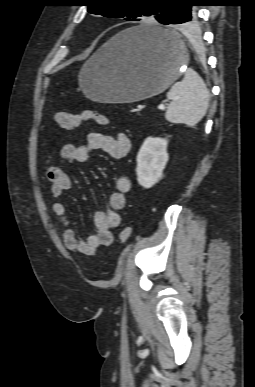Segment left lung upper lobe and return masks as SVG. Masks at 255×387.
Instances as JSON below:
<instances>
[{
	"label": "left lung upper lobe",
	"instance_id": "5c2ea615",
	"mask_svg": "<svg viewBox=\"0 0 255 387\" xmlns=\"http://www.w3.org/2000/svg\"><path fill=\"white\" fill-rule=\"evenodd\" d=\"M184 0H83L88 12L110 18L138 21L143 16H154L165 24L173 6Z\"/></svg>",
	"mask_w": 255,
	"mask_h": 387
}]
</instances>
